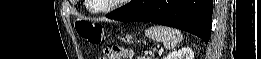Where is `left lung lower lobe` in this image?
<instances>
[{"mask_svg": "<svg viewBox=\"0 0 261 59\" xmlns=\"http://www.w3.org/2000/svg\"><path fill=\"white\" fill-rule=\"evenodd\" d=\"M212 12L213 0H132L107 17L174 27L197 35L207 44L211 36Z\"/></svg>", "mask_w": 261, "mask_h": 59, "instance_id": "0a47b994", "label": "left lung lower lobe"}]
</instances>
